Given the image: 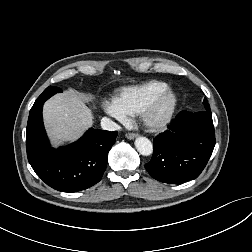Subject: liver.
Here are the masks:
<instances>
[{"instance_id": "1", "label": "liver", "mask_w": 252, "mask_h": 252, "mask_svg": "<svg viewBox=\"0 0 252 252\" xmlns=\"http://www.w3.org/2000/svg\"><path fill=\"white\" fill-rule=\"evenodd\" d=\"M45 128L55 146L77 140L93 124L91 110L82 95L64 92L44 104Z\"/></svg>"}]
</instances>
